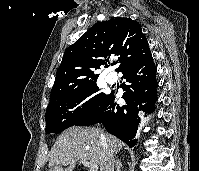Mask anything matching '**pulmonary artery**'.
Segmentation results:
<instances>
[{
    "instance_id": "pulmonary-artery-1",
    "label": "pulmonary artery",
    "mask_w": 199,
    "mask_h": 171,
    "mask_svg": "<svg viewBox=\"0 0 199 171\" xmlns=\"http://www.w3.org/2000/svg\"><path fill=\"white\" fill-rule=\"evenodd\" d=\"M106 80L109 84H114L116 82V77L113 75H107Z\"/></svg>"
}]
</instances>
